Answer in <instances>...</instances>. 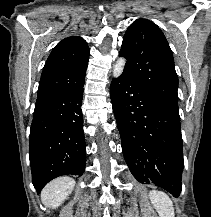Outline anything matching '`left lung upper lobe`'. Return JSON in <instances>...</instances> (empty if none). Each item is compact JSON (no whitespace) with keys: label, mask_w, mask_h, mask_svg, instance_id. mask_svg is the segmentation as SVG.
I'll list each match as a JSON object with an SVG mask.
<instances>
[{"label":"left lung upper lobe","mask_w":211,"mask_h":217,"mask_svg":"<svg viewBox=\"0 0 211 217\" xmlns=\"http://www.w3.org/2000/svg\"><path fill=\"white\" fill-rule=\"evenodd\" d=\"M127 59L123 74L139 83L166 108L179 113L178 77L161 29L137 19L127 29L119 53Z\"/></svg>","instance_id":"1"}]
</instances>
